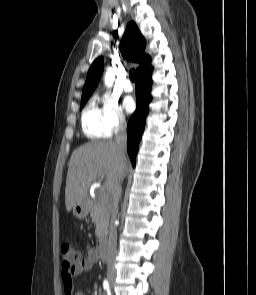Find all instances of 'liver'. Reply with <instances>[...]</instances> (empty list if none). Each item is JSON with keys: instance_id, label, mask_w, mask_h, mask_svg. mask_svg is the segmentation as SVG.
I'll list each match as a JSON object with an SVG mask.
<instances>
[{"instance_id": "liver-1", "label": "liver", "mask_w": 256, "mask_h": 295, "mask_svg": "<svg viewBox=\"0 0 256 295\" xmlns=\"http://www.w3.org/2000/svg\"><path fill=\"white\" fill-rule=\"evenodd\" d=\"M129 162L121 161L116 142L97 141L86 143L71 155L65 187L67 212L80 203H85L91 184L105 178V187L110 190L119 173L127 171Z\"/></svg>"}]
</instances>
